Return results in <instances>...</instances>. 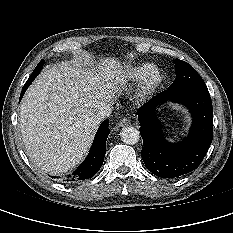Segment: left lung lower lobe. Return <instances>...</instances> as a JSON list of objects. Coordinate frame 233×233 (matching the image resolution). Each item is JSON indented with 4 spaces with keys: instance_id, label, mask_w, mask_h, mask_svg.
<instances>
[{
    "instance_id": "1",
    "label": "left lung lower lobe",
    "mask_w": 233,
    "mask_h": 233,
    "mask_svg": "<svg viewBox=\"0 0 233 233\" xmlns=\"http://www.w3.org/2000/svg\"><path fill=\"white\" fill-rule=\"evenodd\" d=\"M166 101L185 105L193 118L189 135L179 143L166 141L156 115V108ZM137 113L143 138L141 155L150 172L173 178L201 164L213 138V108L207 87L167 89L140 107Z\"/></svg>"
}]
</instances>
